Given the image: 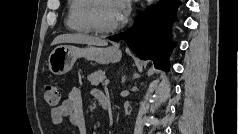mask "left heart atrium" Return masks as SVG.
I'll return each mask as SVG.
<instances>
[{
  "instance_id": "39dd6f15",
  "label": "left heart atrium",
  "mask_w": 239,
  "mask_h": 134,
  "mask_svg": "<svg viewBox=\"0 0 239 134\" xmlns=\"http://www.w3.org/2000/svg\"><path fill=\"white\" fill-rule=\"evenodd\" d=\"M114 12L118 23L122 22L130 12L129 2L126 0L113 1Z\"/></svg>"
}]
</instances>
